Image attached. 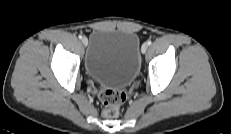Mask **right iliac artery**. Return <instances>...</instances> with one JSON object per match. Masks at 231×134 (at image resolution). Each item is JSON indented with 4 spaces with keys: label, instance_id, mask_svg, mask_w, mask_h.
Instances as JSON below:
<instances>
[{
    "label": "right iliac artery",
    "instance_id": "82829eb1",
    "mask_svg": "<svg viewBox=\"0 0 231 134\" xmlns=\"http://www.w3.org/2000/svg\"><path fill=\"white\" fill-rule=\"evenodd\" d=\"M78 37H79L80 39H82V35H79Z\"/></svg>",
    "mask_w": 231,
    "mask_h": 134
}]
</instances>
